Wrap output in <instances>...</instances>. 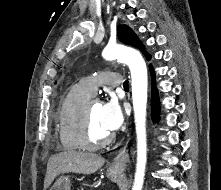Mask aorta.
<instances>
[{
    "label": "aorta",
    "instance_id": "aorta-1",
    "mask_svg": "<svg viewBox=\"0 0 221 190\" xmlns=\"http://www.w3.org/2000/svg\"><path fill=\"white\" fill-rule=\"evenodd\" d=\"M102 56L128 65L132 77V101L137 135V164L132 190H142L147 161L146 143V105H147V67L141 54L124 45L107 46Z\"/></svg>",
    "mask_w": 221,
    "mask_h": 190
}]
</instances>
